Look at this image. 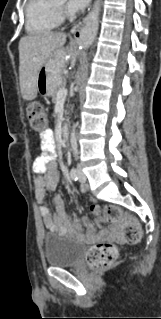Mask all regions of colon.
<instances>
[{
	"label": "colon",
	"instance_id": "1",
	"mask_svg": "<svg viewBox=\"0 0 161 319\" xmlns=\"http://www.w3.org/2000/svg\"><path fill=\"white\" fill-rule=\"evenodd\" d=\"M26 113L33 130L40 133L48 131L49 125L44 115L42 105L31 103L28 105ZM49 146L52 147L53 144H49ZM93 210L103 218L122 226L124 240L127 243H135L141 239V229L136 218L122 216L119 209L114 206L104 207L101 210L95 208ZM118 256L119 251L114 244L100 242L89 248L86 254V261L91 268L102 269L113 266L116 263Z\"/></svg>",
	"mask_w": 161,
	"mask_h": 319
}]
</instances>
